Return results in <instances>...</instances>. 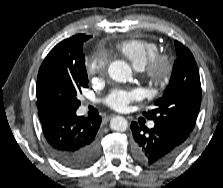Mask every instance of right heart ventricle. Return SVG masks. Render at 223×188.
Listing matches in <instances>:
<instances>
[{
	"instance_id": "right-heart-ventricle-1",
	"label": "right heart ventricle",
	"mask_w": 223,
	"mask_h": 188,
	"mask_svg": "<svg viewBox=\"0 0 223 188\" xmlns=\"http://www.w3.org/2000/svg\"><path fill=\"white\" fill-rule=\"evenodd\" d=\"M115 48L120 54L129 59L137 69H142L159 53L157 43L145 39H125L118 42Z\"/></svg>"
}]
</instances>
